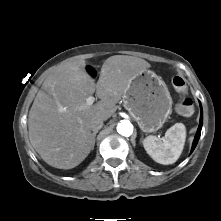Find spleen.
Here are the masks:
<instances>
[{
    "label": "spleen",
    "instance_id": "spleen-1",
    "mask_svg": "<svg viewBox=\"0 0 221 221\" xmlns=\"http://www.w3.org/2000/svg\"><path fill=\"white\" fill-rule=\"evenodd\" d=\"M186 128L183 123H176L169 128L161 141L156 136H147L143 146L148 155L157 163L169 165L175 163L184 148Z\"/></svg>",
    "mask_w": 221,
    "mask_h": 221
}]
</instances>
